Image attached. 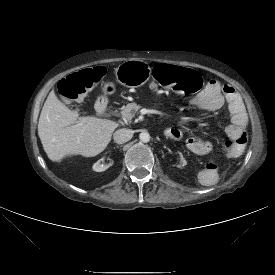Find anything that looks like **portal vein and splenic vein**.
<instances>
[{"label": "portal vein and splenic vein", "instance_id": "portal-vein-and-splenic-vein-1", "mask_svg": "<svg viewBox=\"0 0 275 275\" xmlns=\"http://www.w3.org/2000/svg\"><path fill=\"white\" fill-rule=\"evenodd\" d=\"M148 112H149V111H148L147 109H141V110H140V113H141V114H146V113H148Z\"/></svg>", "mask_w": 275, "mask_h": 275}]
</instances>
